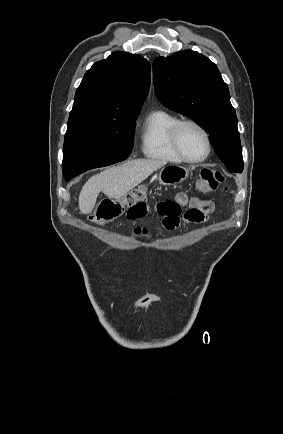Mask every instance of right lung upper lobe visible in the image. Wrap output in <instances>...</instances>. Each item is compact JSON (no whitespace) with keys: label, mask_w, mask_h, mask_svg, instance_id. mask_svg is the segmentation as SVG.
I'll list each match as a JSON object with an SVG mask.
<instances>
[{"label":"right lung upper lobe","mask_w":283,"mask_h":434,"mask_svg":"<svg viewBox=\"0 0 283 434\" xmlns=\"http://www.w3.org/2000/svg\"><path fill=\"white\" fill-rule=\"evenodd\" d=\"M150 63L140 55L113 52L86 72L68 121L138 116L150 87Z\"/></svg>","instance_id":"1"}]
</instances>
